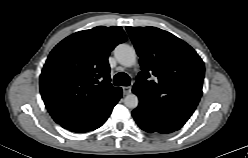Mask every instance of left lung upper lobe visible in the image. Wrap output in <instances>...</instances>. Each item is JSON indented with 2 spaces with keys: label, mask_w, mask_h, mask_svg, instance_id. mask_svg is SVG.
<instances>
[{
  "label": "left lung upper lobe",
  "mask_w": 248,
  "mask_h": 158,
  "mask_svg": "<svg viewBox=\"0 0 248 158\" xmlns=\"http://www.w3.org/2000/svg\"><path fill=\"white\" fill-rule=\"evenodd\" d=\"M126 30L142 68L132 89L139 105L181 128L202 96V59L191 46L167 31L129 26Z\"/></svg>",
  "instance_id": "obj_1"
}]
</instances>
